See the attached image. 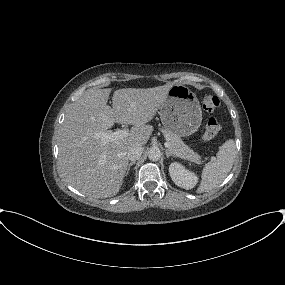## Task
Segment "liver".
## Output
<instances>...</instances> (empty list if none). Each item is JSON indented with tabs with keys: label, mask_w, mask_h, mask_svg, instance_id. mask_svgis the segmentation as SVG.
I'll use <instances>...</instances> for the list:
<instances>
[{
	"label": "liver",
	"mask_w": 285,
	"mask_h": 285,
	"mask_svg": "<svg viewBox=\"0 0 285 285\" xmlns=\"http://www.w3.org/2000/svg\"><path fill=\"white\" fill-rule=\"evenodd\" d=\"M174 83L154 88L114 91L113 107L107 105L110 88L89 89L67 111L59 136V167L68 184L92 198L116 195L128 166L127 152L145 145L156 115ZM114 123L133 125L123 139L102 144L95 133Z\"/></svg>",
	"instance_id": "6515ba94"
}]
</instances>
